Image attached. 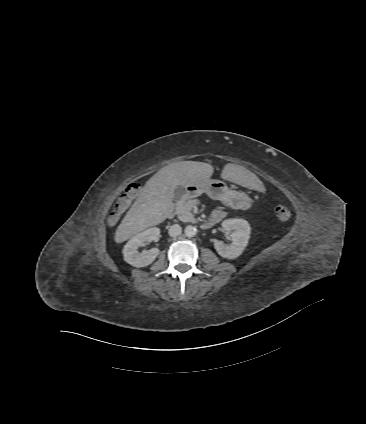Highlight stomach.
<instances>
[{"instance_id": "obj_1", "label": "stomach", "mask_w": 366, "mask_h": 424, "mask_svg": "<svg viewBox=\"0 0 366 424\" xmlns=\"http://www.w3.org/2000/svg\"><path fill=\"white\" fill-rule=\"evenodd\" d=\"M184 188V195L199 196L203 193L207 194L214 200H220L225 206L237 208L236 199H241L243 204L249 206L251 199L244 192L230 190L226 183L221 180H208L199 185H187Z\"/></svg>"}]
</instances>
